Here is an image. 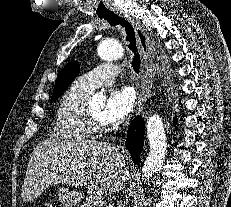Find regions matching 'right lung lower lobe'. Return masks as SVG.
<instances>
[{
    "mask_svg": "<svg viewBox=\"0 0 231 207\" xmlns=\"http://www.w3.org/2000/svg\"><path fill=\"white\" fill-rule=\"evenodd\" d=\"M144 130L145 122L141 117L134 118L128 128L126 147L137 164L140 163L139 153L143 147Z\"/></svg>",
    "mask_w": 231,
    "mask_h": 207,
    "instance_id": "right-lung-lower-lobe-1",
    "label": "right lung lower lobe"
}]
</instances>
